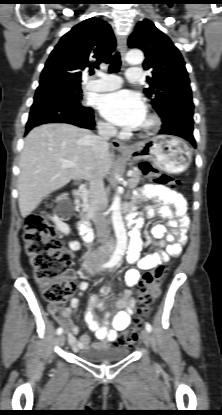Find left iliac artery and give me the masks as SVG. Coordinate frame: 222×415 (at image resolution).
Returning <instances> with one entry per match:
<instances>
[{"label": "left iliac artery", "mask_w": 222, "mask_h": 415, "mask_svg": "<svg viewBox=\"0 0 222 415\" xmlns=\"http://www.w3.org/2000/svg\"><path fill=\"white\" fill-rule=\"evenodd\" d=\"M145 328H146L149 332H151V330H152V326H151V324H150V323H146V324H145Z\"/></svg>", "instance_id": "44dca946"}]
</instances>
